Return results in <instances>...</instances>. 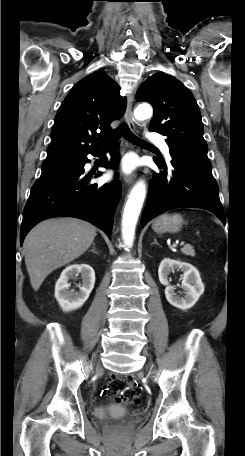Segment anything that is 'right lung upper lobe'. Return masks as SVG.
<instances>
[{
	"instance_id": "cb5924a9",
	"label": "right lung upper lobe",
	"mask_w": 245,
	"mask_h": 456,
	"mask_svg": "<svg viewBox=\"0 0 245 456\" xmlns=\"http://www.w3.org/2000/svg\"><path fill=\"white\" fill-rule=\"evenodd\" d=\"M119 91L118 84L101 72L88 75L71 89L55 117L42 169L74 163L101 147L94 136L102 141L112 132L110 123L126 109L127 99Z\"/></svg>"
}]
</instances>
